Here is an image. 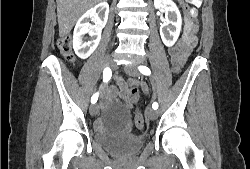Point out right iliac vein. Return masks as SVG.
Segmentation results:
<instances>
[{"label": "right iliac vein", "mask_w": 250, "mask_h": 169, "mask_svg": "<svg viewBox=\"0 0 250 169\" xmlns=\"http://www.w3.org/2000/svg\"><path fill=\"white\" fill-rule=\"evenodd\" d=\"M111 67L112 69H115L116 68V63L115 61L113 60L112 57H108L106 60H105V63H104V67ZM98 113V105L96 103H93L90 107V114L92 116H96Z\"/></svg>", "instance_id": "right-iliac-vein-1"}]
</instances>
